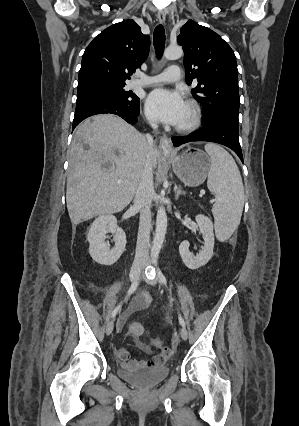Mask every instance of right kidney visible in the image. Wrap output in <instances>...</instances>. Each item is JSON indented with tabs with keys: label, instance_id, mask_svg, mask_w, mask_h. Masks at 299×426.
<instances>
[{
	"label": "right kidney",
	"instance_id": "ca27d5eb",
	"mask_svg": "<svg viewBox=\"0 0 299 426\" xmlns=\"http://www.w3.org/2000/svg\"><path fill=\"white\" fill-rule=\"evenodd\" d=\"M115 234L113 248H109L106 243V234ZM89 242V254L92 259L101 265H113L125 251L126 234L118 227L117 219L113 215H102L96 218L90 226L87 234Z\"/></svg>",
	"mask_w": 299,
	"mask_h": 426
}]
</instances>
